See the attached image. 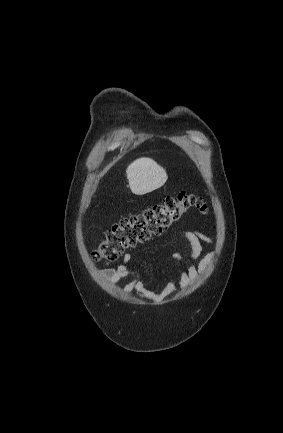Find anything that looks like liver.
Masks as SVG:
<instances>
[{"label":"liver","instance_id":"1","mask_svg":"<svg viewBox=\"0 0 283 433\" xmlns=\"http://www.w3.org/2000/svg\"><path fill=\"white\" fill-rule=\"evenodd\" d=\"M126 174L134 194H146L165 184L168 176L165 168L153 158H136L126 168Z\"/></svg>","mask_w":283,"mask_h":433}]
</instances>
